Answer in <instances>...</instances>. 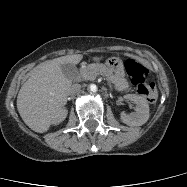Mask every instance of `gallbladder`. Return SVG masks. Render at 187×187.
<instances>
[{"label":"gallbladder","mask_w":187,"mask_h":187,"mask_svg":"<svg viewBox=\"0 0 187 187\" xmlns=\"http://www.w3.org/2000/svg\"><path fill=\"white\" fill-rule=\"evenodd\" d=\"M61 70L67 78H71L75 72V68L71 64H62Z\"/></svg>","instance_id":"bac80fb5"}]
</instances>
